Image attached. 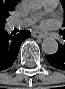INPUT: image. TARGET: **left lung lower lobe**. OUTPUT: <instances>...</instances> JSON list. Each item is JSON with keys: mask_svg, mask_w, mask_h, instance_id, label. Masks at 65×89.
I'll return each mask as SVG.
<instances>
[{"mask_svg": "<svg viewBox=\"0 0 65 89\" xmlns=\"http://www.w3.org/2000/svg\"><path fill=\"white\" fill-rule=\"evenodd\" d=\"M63 35V39L65 40V35ZM58 51L53 55L45 56L46 60L55 68L65 70V43L60 44Z\"/></svg>", "mask_w": 65, "mask_h": 89, "instance_id": "1", "label": "left lung lower lobe"}]
</instances>
